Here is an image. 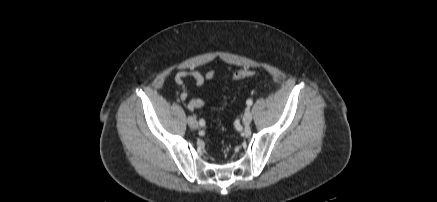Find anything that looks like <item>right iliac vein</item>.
I'll use <instances>...</instances> for the list:
<instances>
[{
    "label": "right iliac vein",
    "instance_id": "right-iliac-vein-1",
    "mask_svg": "<svg viewBox=\"0 0 437 202\" xmlns=\"http://www.w3.org/2000/svg\"><path fill=\"white\" fill-rule=\"evenodd\" d=\"M188 124H189V126H190L191 128H193V129H197V128L199 127L196 118L193 117V116H189V117H188Z\"/></svg>",
    "mask_w": 437,
    "mask_h": 202
}]
</instances>
